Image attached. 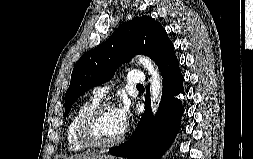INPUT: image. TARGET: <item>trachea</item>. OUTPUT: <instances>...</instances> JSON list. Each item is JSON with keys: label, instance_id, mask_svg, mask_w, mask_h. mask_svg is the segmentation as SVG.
<instances>
[{"label": "trachea", "instance_id": "trachea-1", "mask_svg": "<svg viewBox=\"0 0 253 159\" xmlns=\"http://www.w3.org/2000/svg\"><path fill=\"white\" fill-rule=\"evenodd\" d=\"M137 88H144V87H143V85H139V86H137Z\"/></svg>", "mask_w": 253, "mask_h": 159}]
</instances>
